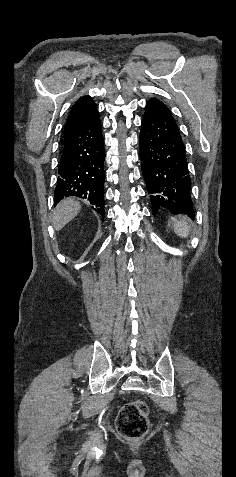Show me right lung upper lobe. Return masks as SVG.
I'll list each match as a JSON object with an SVG mask.
<instances>
[{
	"instance_id": "right-lung-upper-lobe-1",
	"label": "right lung upper lobe",
	"mask_w": 236,
	"mask_h": 477,
	"mask_svg": "<svg viewBox=\"0 0 236 477\" xmlns=\"http://www.w3.org/2000/svg\"><path fill=\"white\" fill-rule=\"evenodd\" d=\"M97 112L96 105L89 96L81 97L73 106L65 126V137L82 128Z\"/></svg>"
}]
</instances>
